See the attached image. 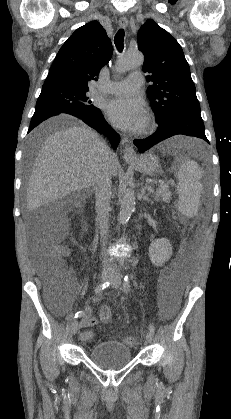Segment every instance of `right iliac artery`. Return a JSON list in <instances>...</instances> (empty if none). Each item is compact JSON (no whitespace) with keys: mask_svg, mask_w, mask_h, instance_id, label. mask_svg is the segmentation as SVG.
<instances>
[{"mask_svg":"<svg viewBox=\"0 0 231 419\" xmlns=\"http://www.w3.org/2000/svg\"><path fill=\"white\" fill-rule=\"evenodd\" d=\"M110 283H111V281L108 280L104 283H101V284L97 285L94 289L95 294H100L104 289L109 287ZM83 314H84L83 311H78L77 313H75L73 318L81 317V316H83Z\"/></svg>","mask_w":231,"mask_h":419,"instance_id":"right-iliac-artery-1","label":"right iliac artery"}]
</instances>
